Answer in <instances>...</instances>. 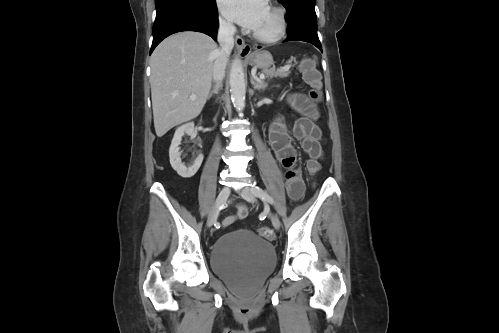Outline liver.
Returning <instances> with one entry per match:
<instances>
[{"label":"liver","mask_w":499,"mask_h":333,"mask_svg":"<svg viewBox=\"0 0 499 333\" xmlns=\"http://www.w3.org/2000/svg\"><path fill=\"white\" fill-rule=\"evenodd\" d=\"M218 47L199 32H179L163 40L151 56V98L155 132L196 118L208 98ZM196 99L191 100L190 96Z\"/></svg>","instance_id":"1"}]
</instances>
